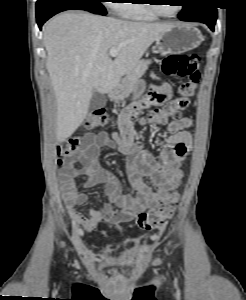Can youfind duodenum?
Wrapping results in <instances>:
<instances>
[{"mask_svg":"<svg viewBox=\"0 0 246 300\" xmlns=\"http://www.w3.org/2000/svg\"><path fill=\"white\" fill-rule=\"evenodd\" d=\"M106 96H107V98H109L110 100H112L113 97H114V92L111 91V90H109V91L107 92Z\"/></svg>","mask_w":246,"mask_h":300,"instance_id":"1","label":"duodenum"}]
</instances>
